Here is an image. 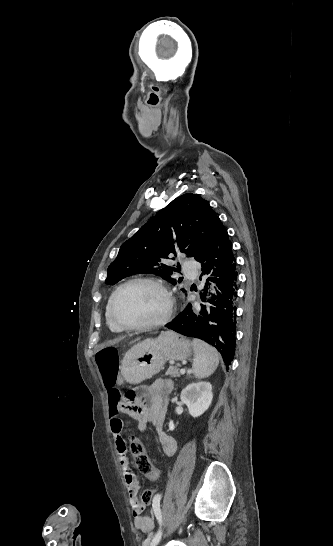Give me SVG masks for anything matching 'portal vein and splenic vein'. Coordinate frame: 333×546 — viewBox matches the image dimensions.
Here are the masks:
<instances>
[{
    "mask_svg": "<svg viewBox=\"0 0 333 546\" xmlns=\"http://www.w3.org/2000/svg\"><path fill=\"white\" fill-rule=\"evenodd\" d=\"M181 374H185V369H180Z\"/></svg>",
    "mask_w": 333,
    "mask_h": 546,
    "instance_id": "portal-vein-and-splenic-vein-1",
    "label": "portal vein and splenic vein"
}]
</instances>
